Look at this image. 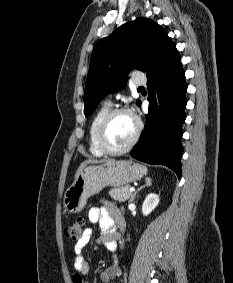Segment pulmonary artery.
Here are the masks:
<instances>
[{
	"instance_id": "pulmonary-artery-1",
	"label": "pulmonary artery",
	"mask_w": 233,
	"mask_h": 283,
	"mask_svg": "<svg viewBox=\"0 0 233 283\" xmlns=\"http://www.w3.org/2000/svg\"><path fill=\"white\" fill-rule=\"evenodd\" d=\"M133 83L137 86H141L146 84V78L143 75H136L133 78ZM108 103H110V101H108Z\"/></svg>"
}]
</instances>
